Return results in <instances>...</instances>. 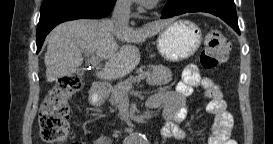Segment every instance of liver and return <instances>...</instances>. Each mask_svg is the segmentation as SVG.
Here are the masks:
<instances>
[{"label":"liver","mask_w":273,"mask_h":144,"mask_svg":"<svg viewBox=\"0 0 273 144\" xmlns=\"http://www.w3.org/2000/svg\"><path fill=\"white\" fill-rule=\"evenodd\" d=\"M173 22L174 19L157 20L138 29L115 27L109 19L64 22L47 36L44 56L47 81L73 75L83 63V53L96 54L106 61L105 68L96 73L98 78L123 77L140 62V51L131 43H142ZM116 39L127 44L120 46Z\"/></svg>","instance_id":"liver-1"}]
</instances>
